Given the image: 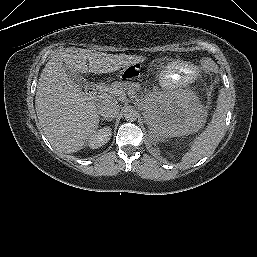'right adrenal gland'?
<instances>
[{"instance_id":"2a0ac1e0","label":"right adrenal gland","mask_w":257,"mask_h":257,"mask_svg":"<svg viewBox=\"0 0 257 257\" xmlns=\"http://www.w3.org/2000/svg\"><path fill=\"white\" fill-rule=\"evenodd\" d=\"M113 119H101V121L103 122V121H112Z\"/></svg>"}]
</instances>
